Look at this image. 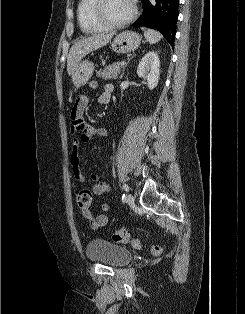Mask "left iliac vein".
Returning a JSON list of instances; mask_svg holds the SVG:
<instances>
[{
  "mask_svg": "<svg viewBox=\"0 0 245 314\" xmlns=\"http://www.w3.org/2000/svg\"><path fill=\"white\" fill-rule=\"evenodd\" d=\"M126 202L129 204V205H133L134 204V197L132 194H127L126 196Z\"/></svg>",
  "mask_w": 245,
  "mask_h": 314,
  "instance_id": "obj_1",
  "label": "left iliac vein"
}]
</instances>
